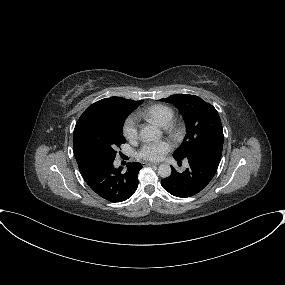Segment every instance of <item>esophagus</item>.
Returning a JSON list of instances; mask_svg holds the SVG:
<instances>
[{
    "label": "esophagus",
    "mask_w": 285,
    "mask_h": 285,
    "mask_svg": "<svg viewBox=\"0 0 285 285\" xmlns=\"http://www.w3.org/2000/svg\"><path fill=\"white\" fill-rule=\"evenodd\" d=\"M143 164H144V166H153V165L157 166V165H159L158 163H151V162H145Z\"/></svg>",
    "instance_id": "34e87169"
}]
</instances>
